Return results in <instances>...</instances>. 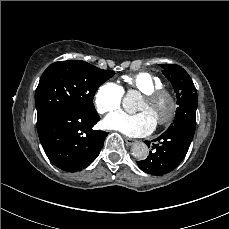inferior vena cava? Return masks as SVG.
<instances>
[{"mask_svg":"<svg viewBox=\"0 0 229 229\" xmlns=\"http://www.w3.org/2000/svg\"><path fill=\"white\" fill-rule=\"evenodd\" d=\"M138 145H140V144L133 145L132 149H135V150L138 149L139 148Z\"/></svg>","mask_w":229,"mask_h":229,"instance_id":"602c4592","label":"inferior vena cava"}]
</instances>
